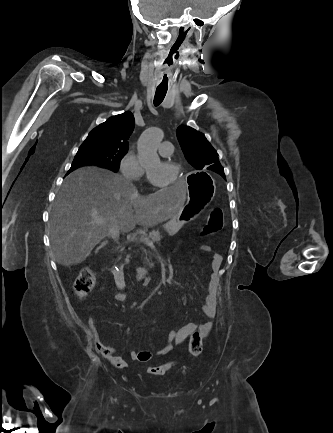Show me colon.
I'll list each match as a JSON object with an SVG mask.
<instances>
[{"instance_id": "colon-1", "label": "colon", "mask_w": 333, "mask_h": 433, "mask_svg": "<svg viewBox=\"0 0 333 433\" xmlns=\"http://www.w3.org/2000/svg\"><path fill=\"white\" fill-rule=\"evenodd\" d=\"M224 215L220 208H214L209 212L207 224L202 234L209 236L219 232L223 227ZM96 285V274L91 268L80 271L74 282V291L78 296L87 295ZM203 337L199 332H194L189 339V356L198 357L202 352ZM174 365L173 362L154 365L147 368V373L152 375H164Z\"/></svg>"}]
</instances>
